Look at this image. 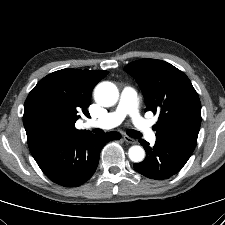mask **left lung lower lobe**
<instances>
[{
	"label": "left lung lower lobe",
	"instance_id": "0a47b994",
	"mask_svg": "<svg viewBox=\"0 0 225 225\" xmlns=\"http://www.w3.org/2000/svg\"><path fill=\"white\" fill-rule=\"evenodd\" d=\"M139 142L146 151V158L143 162L135 163L134 169L151 179L163 180L178 173L192 154L164 141L156 140L154 147L143 139Z\"/></svg>",
	"mask_w": 225,
	"mask_h": 225
}]
</instances>
